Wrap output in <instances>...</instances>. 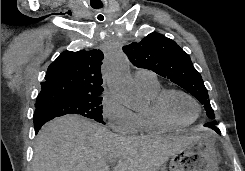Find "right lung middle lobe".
<instances>
[{"label":"right lung middle lobe","instance_id":"right-lung-middle-lobe-1","mask_svg":"<svg viewBox=\"0 0 245 171\" xmlns=\"http://www.w3.org/2000/svg\"><path fill=\"white\" fill-rule=\"evenodd\" d=\"M100 95L49 97L35 105V107L36 109L41 108L55 117L79 114L105 124L102 116V97Z\"/></svg>","mask_w":245,"mask_h":171}]
</instances>
